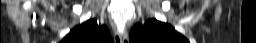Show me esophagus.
Here are the masks:
<instances>
[{
    "label": "esophagus",
    "mask_w": 256,
    "mask_h": 43,
    "mask_svg": "<svg viewBox=\"0 0 256 43\" xmlns=\"http://www.w3.org/2000/svg\"><path fill=\"white\" fill-rule=\"evenodd\" d=\"M115 43H129L127 28H125L122 35H119V37L115 38Z\"/></svg>",
    "instance_id": "34e87169"
}]
</instances>
